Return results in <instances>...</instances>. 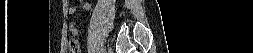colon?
I'll use <instances>...</instances> for the list:
<instances>
[{"mask_svg":"<svg viewBox=\"0 0 253 53\" xmlns=\"http://www.w3.org/2000/svg\"><path fill=\"white\" fill-rule=\"evenodd\" d=\"M69 52L70 53H79L80 52L79 42L77 40L70 41Z\"/></svg>","mask_w":253,"mask_h":53,"instance_id":"obj_1","label":"colon"}]
</instances>
